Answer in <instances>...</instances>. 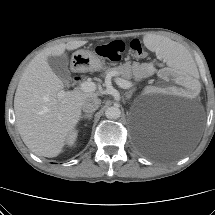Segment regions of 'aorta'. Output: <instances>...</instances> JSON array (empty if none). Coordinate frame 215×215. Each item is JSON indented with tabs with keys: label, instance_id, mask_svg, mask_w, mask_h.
<instances>
[{
	"label": "aorta",
	"instance_id": "762f6f07",
	"mask_svg": "<svg viewBox=\"0 0 215 215\" xmlns=\"http://www.w3.org/2000/svg\"><path fill=\"white\" fill-rule=\"evenodd\" d=\"M108 119H118L121 116V110L117 106L108 107L105 111Z\"/></svg>",
	"mask_w": 215,
	"mask_h": 215
}]
</instances>
